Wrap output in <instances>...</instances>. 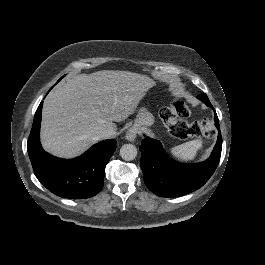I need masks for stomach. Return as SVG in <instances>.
<instances>
[{
  "instance_id": "obj_1",
  "label": "stomach",
  "mask_w": 265,
  "mask_h": 265,
  "mask_svg": "<svg viewBox=\"0 0 265 265\" xmlns=\"http://www.w3.org/2000/svg\"><path fill=\"white\" fill-rule=\"evenodd\" d=\"M154 116L145 107L139 109L135 123L131 128H139L142 132H148V127L153 125Z\"/></svg>"
}]
</instances>
